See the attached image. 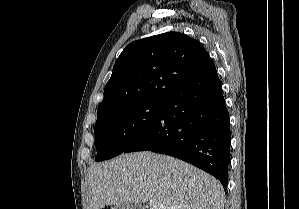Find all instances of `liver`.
Wrapping results in <instances>:
<instances>
[{"label":"liver","mask_w":299,"mask_h":209,"mask_svg":"<svg viewBox=\"0 0 299 209\" xmlns=\"http://www.w3.org/2000/svg\"><path fill=\"white\" fill-rule=\"evenodd\" d=\"M88 209L123 202H157L172 209H223L221 183L176 158L153 152L125 154L87 170Z\"/></svg>","instance_id":"6515ba94"}]
</instances>
